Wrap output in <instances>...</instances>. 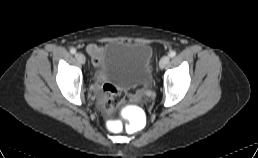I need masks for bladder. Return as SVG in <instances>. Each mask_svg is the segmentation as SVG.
<instances>
[{"label": "bladder", "mask_w": 258, "mask_h": 158, "mask_svg": "<svg viewBox=\"0 0 258 158\" xmlns=\"http://www.w3.org/2000/svg\"><path fill=\"white\" fill-rule=\"evenodd\" d=\"M152 55V46L148 43L109 42L102 50L98 78L124 90L150 87Z\"/></svg>", "instance_id": "1"}]
</instances>
